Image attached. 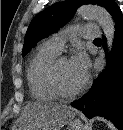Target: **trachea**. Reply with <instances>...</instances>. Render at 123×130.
Returning a JSON list of instances; mask_svg holds the SVG:
<instances>
[{
	"mask_svg": "<svg viewBox=\"0 0 123 130\" xmlns=\"http://www.w3.org/2000/svg\"><path fill=\"white\" fill-rule=\"evenodd\" d=\"M94 41H101V39H100V38H97V39H95Z\"/></svg>",
	"mask_w": 123,
	"mask_h": 130,
	"instance_id": "obj_1",
	"label": "trachea"
}]
</instances>
